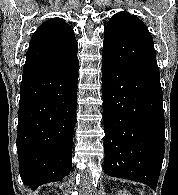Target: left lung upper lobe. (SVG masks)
<instances>
[{
	"instance_id": "left-lung-upper-lobe-1",
	"label": "left lung upper lobe",
	"mask_w": 178,
	"mask_h": 195,
	"mask_svg": "<svg viewBox=\"0 0 178 195\" xmlns=\"http://www.w3.org/2000/svg\"><path fill=\"white\" fill-rule=\"evenodd\" d=\"M103 57L160 81L153 38L128 12L113 15L104 29Z\"/></svg>"
}]
</instances>
